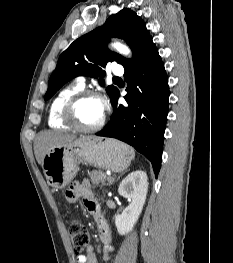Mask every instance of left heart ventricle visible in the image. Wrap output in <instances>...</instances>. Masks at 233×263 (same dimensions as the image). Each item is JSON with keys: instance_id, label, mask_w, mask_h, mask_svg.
Listing matches in <instances>:
<instances>
[{"instance_id": "1", "label": "left heart ventricle", "mask_w": 233, "mask_h": 263, "mask_svg": "<svg viewBox=\"0 0 233 263\" xmlns=\"http://www.w3.org/2000/svg\"><path fill=\"white\" fill-rule=\"evenodd\" d=\"M103 102L96 98H86L76 108V117L85 127L96 125L103 115Z\"/></svg>"}]
</instances>
